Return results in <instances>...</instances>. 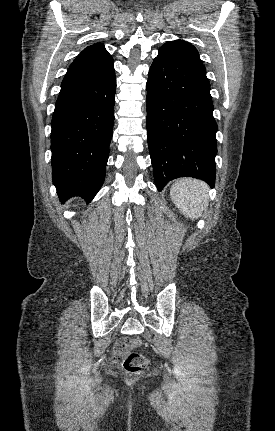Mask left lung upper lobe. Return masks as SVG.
I'll return each instance as SVG.
<instances>
[{
  "mask_svg": "<svg viewBox=\"0 0 275 431\" xmlns=\"http://www.w3.org/2000/svg\"><path fill=\"white\" fill-rule=\"evenodd\" d=\"M164 45H169L183 51L203 72L206 73L203 63L199 58L198 51L193 45L183 40L169 41Z\"/></svg>",
  "mask_w": 275,
  "mask_h": 431,
  "instance_id": "obj_1",
  "label": "left lung upper lobe"
}]
</instances>
